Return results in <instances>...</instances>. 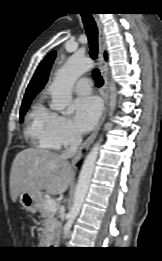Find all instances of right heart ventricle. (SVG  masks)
<instances>
[{"label": "right heart ventricle", "instance_id": "right-heart-ventricle-1", "mask_svg": "<svg viewBox=\"0 0 162 261\" xmlns=\"http://www.w3.org/2000/svg\"><path fill=\"white\" fill-rule=\"evenodd\" d=\"M53 117L41 101L36 102L27 115L26 135L40 148H55L48 131Z\"/></svg>", "mask_w": 162, "mask_h": 261}]
</instances>
